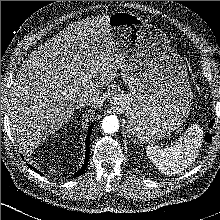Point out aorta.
<instances>
[{
  "instance_id": "obj_1",
  "label": "aorta",
  "mask_w": 220,
  "mask_h": 220,
  "mask_svg": "<svg viewBox=\"0 0 220 220\" xmlns=\"http://www.w3.org/2000/svg\"><path fill=\"white\" fill-rule=\"evenodd\" d=\"M102 128L105 133L113 134L119 129V121L117 116H106L102 121Z\"/></svg>"
}]
</instances>
